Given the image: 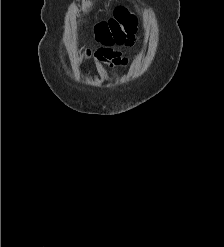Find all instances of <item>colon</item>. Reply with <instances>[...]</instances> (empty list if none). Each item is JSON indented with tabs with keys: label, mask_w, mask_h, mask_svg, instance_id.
Segmentation results:
<instances>
[{
	"label": "colon",
	"mask_w": 224,
	"mask_h": 247,
	"mask_svg": "<svg viewBox=\"0 0 224 247\" xmlns=\"http://www.w3.org/2000/svg\"><path fill=\"white\" fill-rule=\"evenodd\" d=\"M136 22L134 13L124 6H118L112 18L96 23L91 30L97 40H110L136 31Z\"/></svg>",
	"instance_id": "1"
}]
</instances>
